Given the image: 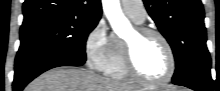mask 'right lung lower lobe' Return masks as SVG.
I'll list each match as a JSON object with an SVG mask.
<instances>
[{"mask_svg":"<svg viewBox=\"0 0 220 91\" xmlns=\"http://www.w3.org/2000/svg\"><path fill=\"white\" fill-rule=\"evenodd\" d=\"M86 59L56 49H39L18 53L15 60L13 91L23 88L41 73L59 66H81Z\"/></svg>","mask_w":220,"mask_h":91,"instance_id":"right-lung-lower-lobe-1","label":"right lung lower lobe"}]
</instances>
